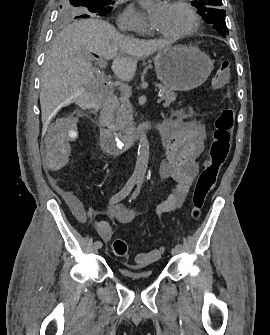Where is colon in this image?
I'll return each mask as SVG.
<instances>
[{
    "mask_svg": "<svg viewBox=\"0 0 270 335\" xmlns=\"http://www.w3.org/2000/svg\"><path fill=\"white\" fill-rule=\"evenodd\" d=\"M231 61H222L212 80V88L215 91L221 90L230 80ZM235 110L232 107H224L216 116L214 121L213 142L208 156V162L198 175L196 185L192 194V206L190 217L193 221L201 218L202 209L206 198L214 188L221 166L226 162L231 149L232 134L234 125ZM114 254L119 258H126L128 245L124 239H114L112 243ZM163 254L161 247L135 256L133 262L136 266H146L157 261Z\"/></svg>",
    "mask_w": 270,
    "mask_h": 335,
    "instance_id": "1",
    "label": "colon"
}]
</instances>
